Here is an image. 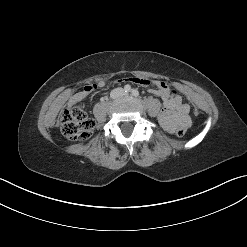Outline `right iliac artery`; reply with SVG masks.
Masks as SVG:
<instances>
[{
  "instance_id": "right-iliac-artery-1",
  "label": "right iliac artery",
  "mask_w": 247,
  "mask_h": 247,
  "mask_svg": "<svg viewBox=\"0 0 247 247\" xmlns=\"http://www.w3.org/2000/svg\"><path fill=\"white\" fill-rule=\"evenodd\" d=\"M124 91L125 92H130L131 91V87H130V85H126L125 87H124Z\"/></svg>"
}]
</instances>
